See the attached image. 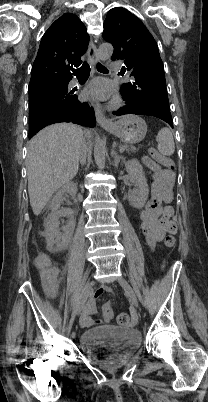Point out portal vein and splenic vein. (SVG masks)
Returning a JSON list of instances; mask_svg holds the SVG:
<instances>
[{
    "label": "portal vein and splenic vein",
    "instance_id": "1",
    "mask_svg": "<svg viewBox=\"0 0 208 402\" xmlns=\"http://www.w3.org/2000/svg\"><path fill=\"white\" fill-rule=\"evenodd\" d=\"M119 151H118V154H121V153H123L124 152V150H125V148H124V145L123 144H120L119 145Z\"/></svg>",
    "mask_w": 208,
    "mask_h": 402
}]
</instances>
